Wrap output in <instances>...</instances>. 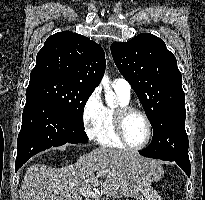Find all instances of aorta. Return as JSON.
Listing matches in <instances>:
<instances>
[{"mask_svg": "<svg viewBox=\"0 0 205 200\" xmlns=\"http://www.w3.org/2000/svg\"><path fill=\"white\" fill-rule=\"evenodd\" d=\"M101 84L103 85L104 91H105V101L108 106L112 107L115 103V94L111 90L110 80L108 76L104 75V77L102 78Z\"/></svg>", "mask_w": 205, "mask_h": 200, "instance_id": "1", "label": "aorta"}]
</instances>
